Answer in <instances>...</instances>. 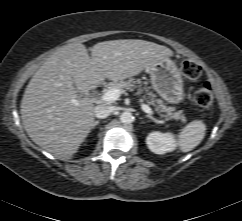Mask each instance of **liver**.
Wrapping results in <instances>:
<instances>
[{"mask_svg": "<svg viewBox=\"0 0 242 221\" xmlns=\"http://www.w3.org/2000/svg\"><path fill=\"white\" fill-rule=\"evenodd\" d=\"M62 46L36 71L21 101L31 140L59 158H71L94 125V105L81 95L104 79L124 80L173 56L169 48L138 39ZM78 92L82 94L79 95Z\"/></svg>", "mask_w": 242, "mask_h": 221, "instance_id": "obj_1", "label": "liver"}]
</instances>
